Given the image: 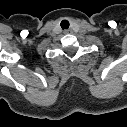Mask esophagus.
<instances>
[{"instance_id": "1", "label": "esophagus", "mask_w": 127, "mask_h": 127, "mask_svg": "<svg viewBox=\"0 0 127 127\" xmlns=\"http://www.w3.org/2000/svg\"><path fill=\"white\" fill-rule=\"evenodd\" d=\"M71 32H72V31L69 30V29L64 30V34H69V33H71Z\"/></svg>"}]
</instances>
